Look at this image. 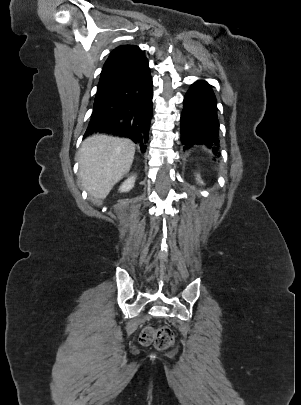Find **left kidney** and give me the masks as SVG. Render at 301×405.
<instances>
[{
    "mask_svg": "<svg viewBox=\"0 0 301 405\" xmlns=\"http://www.w3.org/2000/svg\"><path fill=\"white\" fill-rule=\"evenodd\" d=\"M197 180H198V182H199L200 184H203V182L201 181V179H200L199 176H197Z\"/></svg>",
    "mask_w": 301,
    "mask_h": 405,
    "instance_id": "obj_1",
    "label": "left kidney"
}]
</instances>
